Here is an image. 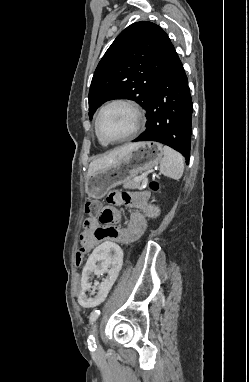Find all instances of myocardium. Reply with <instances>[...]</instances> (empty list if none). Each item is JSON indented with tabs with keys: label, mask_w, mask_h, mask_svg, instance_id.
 Returning a JSON list of instances; mask_svg holds the SVG:
<instances>
[{
	"label": "myocardium",
	"mask_w": 249,
	"mask_h": 382,
	"mask_svg": "<svg viewBox=\"0 0 249 382\" xmlns=\"http://www.w3.org/2000/svg\"><path fill=\"white\" fill-rule=\"evenodd\" d=\"M116 105L124 106L132 112L133 119H134L133 128L131 132L125 136L114 138V139H106L102 136L100 132V128H99L100 118L106 109ZM144 124H145V116L141 108L135 102L131 100L118 98V99H113L107 102L99 109L95 119V131L100 141H102L105 144H113V143L124 142L134 138L137 135V133L140 131V129L144 126Z\"/></svg>",
	"instance_id": "obj_1"
}]
</instances>
